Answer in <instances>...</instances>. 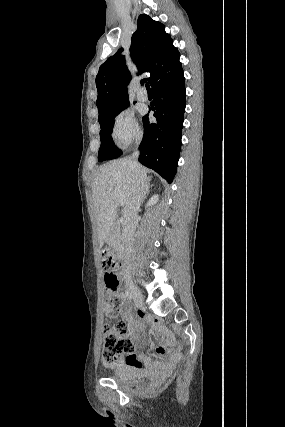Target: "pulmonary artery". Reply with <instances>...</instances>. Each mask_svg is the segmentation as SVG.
<instances>
[{
  "label": "pulmonary artery",
  "instance_id": "pulmonary-artery-1",
  "mask_svg": "<svg viewBox=\"0 0 285 427\" xmlns=\"http://www.w3.org/2000/svg\"><path fill=\"white\" fill-rule=\"evenodd\" d=\"M137 98L140 101H147L148 94L144 88H139V90L137 91Z\"/></svg>",
  "mask_w": 285,
  "mask_h": 427
}]
</instances>
